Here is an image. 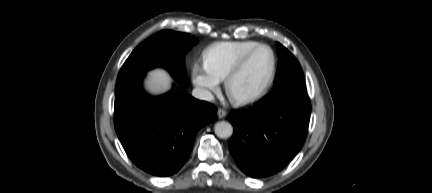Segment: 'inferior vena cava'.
I'll list each match as a JSON object with an SVG mask.
<instances>
[{
    "label": "inferior vena cava",
    "instance_id": "602c4592",
    "mask_svg": "<svg viewBox=\"0 0 432 193\" xmlns=\"http://www.w3.org/2000/svg\"><path fill=\"white\" fill-rule=\"evenodd\" d=\"M193 97L199 99V100H205V101H212L214 100V96L212 93L204 88L196 87L192 91Z\"/></svg>",
    "mask_w": 432,
    "mask_h": 193
}]
</instances>
